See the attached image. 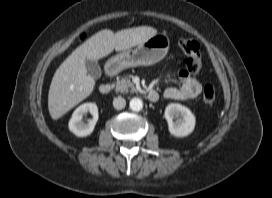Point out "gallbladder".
Instances as JSON below:
<instances>
[{"mask_svg": "<svg viewBox=\"0 0 272 198\" xmlns=\"http://www.w3.org/2000/svg\"><path fill=\"white\" fill-rule=\"evenodd\" d=\"M85 66L88 75H90L92 78L99 79L101 77V68L97 61L87 59L85 61Z\"/></svg>", "mask_w": 272, "mask_h": 198, "instance_id": "bac80fb5", "label": "gallbladder"}]
</instances>
